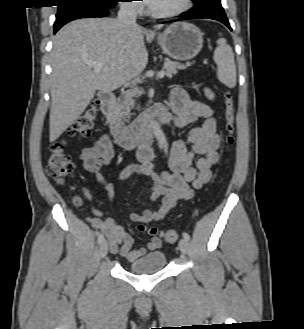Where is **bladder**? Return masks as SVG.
Here are the masks:
<instances>
[{
	"mask_svg": "<svg viewBox=\"0 0 304 329\" xmlns=\"http://www.w3.org/2000/svg\"><path fill=\"white\" fill-rule=\"evenodd\" d=\"M167 264L163 251H151L129 262L127 272L135 275H146L162 271Z\"/></svg>",
	"mask_w": 304,
	"mask_h": 329,
	"instance_id": "bladder-1",
	"label": "bladder"
}]
</instances>
